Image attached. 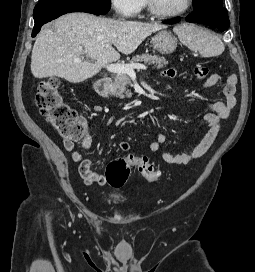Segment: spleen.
<instances>
[{
	"label": "spleen",
	"mask_w": 255,
	"mask_h": 272,
	"mask_svg": "<svg viewBox=\"0 0 255 272\" xmlns=\"http://www.w3.org/2000/svg\"><path fill=\"white\" fill-rule=\"evenodd\" d=\"M179 40L193 51H198L203 57L218 56L225 47L221 39L210 31L191 24H182L174 28Z\"/></svg>",
	"instance_id": "3e777b00"
}]
</instances>
